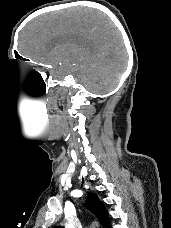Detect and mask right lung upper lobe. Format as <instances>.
<instances>
[{
    "mask_svg": "<svg viewBox=\"0 0 171 228\" xmlns=\"http://www.w3.org/2000/svg\"><path fill=\"white\" fill-rule=\"evenodd\" d=\"M86 206L93 212V214L98 218L100 223L105 228H110L108 212L104 204L100 201L95 193H91L87 199ZM61 228V227H54Z\"/></svg>",
    "mask_w": 171,
    "mask_h": 228,
    "instance_id": "right-lung-upper-lobe-1",
    "label": "right lung upper lobe"
}]
</instances>
